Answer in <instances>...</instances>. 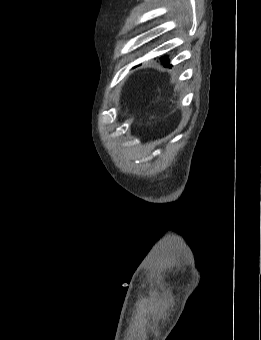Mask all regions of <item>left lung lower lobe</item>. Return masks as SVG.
<instances>
[{
  "mask_svg": "<svg viewBox=\"0 0 261 340\" xmlns=\"http://www.w3.org/2000/svg\"><path fill=\"white\" fill-rule=\"evenodd\" d=\"M160 59L164 66H170L168 57L164 56V57H161Z\"/></svg>",
  "mask_w": 261,
  "mask_h": 340,
  "instance_id": "0a47b994",
  "label": "left lung lower lobe"
}]
</instances>
